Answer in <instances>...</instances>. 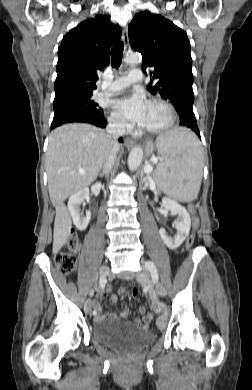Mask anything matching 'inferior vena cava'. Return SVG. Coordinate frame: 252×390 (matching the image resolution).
Instances as JSON below:
<instances>
[{"instance_id":"602c4592","label":"inferior vena cava","mask_w":252,"mask_h":390,"mask_svg":"<svg viewBox=\"0 0 252 390\" xmlns=\"http://www.w3.org/2000/svg\"><path fill=\"white\" fill-rule=\"evenodd\" d=\"M107 132L114 140H116L120 136L125 134V125L120 123H109V125L107 126ZM118 149H119V144L117 141H115L111 154L109 155L108 159L104 162L103 173L105 174L109 173L110 169L112 168L115 162L116 153Z\"/></svg>"}]
</instances>
